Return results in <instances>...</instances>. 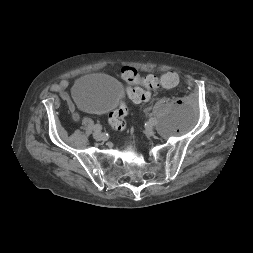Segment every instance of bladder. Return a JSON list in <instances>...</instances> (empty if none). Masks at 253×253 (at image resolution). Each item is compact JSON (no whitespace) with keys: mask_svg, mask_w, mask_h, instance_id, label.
I'll return each instance as SVG.
<instances>
[{"mask_svg":"<svg viewBox=\"0 0 253 253\" xmlns=\"http://www.w3.org/2000/svg\"><path fill=\"white\" fill-rule=\"evenodd\" d=\"M123 87L117 80L99 73L80 77L72 88V97L81 108L105 113L118 106Z\"/></svg>","mask_w":253,"mask_h":253,"instance_id":"1","label":"bladder"}]
</instances>
